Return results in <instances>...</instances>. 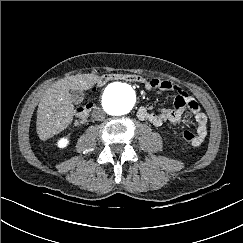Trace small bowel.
Returning <instances> with one entry per match:
<instances>
[{
  "instance_id": "obj_1",
  "label": "small bowel",
  "mask_w": 243,
  "mask_h": 243,
  "mask_svg": "<svg viewBox=\"0 0 243 243\" xmlns=\"http://www.w3.org/2000/svg\"><path fill=\"white\" fill-rule=\"evenodd\" d=\"M147 90L172 91L175 93V101L173 109H160L154 112V106L148 104L138 110V117L146 120L154 126H162L165 123H180L183 120V113L189 110L193 115L192 125L195 128V140L191 143L193 146H200L206 138L207 117L200 110L198 103L192 98L182 87L167 81L152 79L145 83Z\"/></svg>"
}]
</instances>
